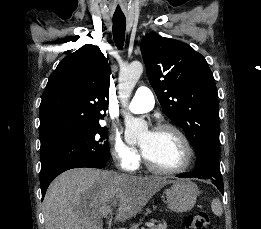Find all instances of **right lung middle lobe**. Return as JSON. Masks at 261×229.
Returning <instances> with one entry per match:
<instances>
[{"label":"right lung middle lobe","instance_id":"right-lung-middle-lobe-1","mask_svg":"<svg viewBox=\"0 0 261 229\" xmlns=\"http://www.w3.org/2000/svg\"><path fill=\"white\" fill-rule=\"evenodd\" d=\"M107 129L96 124L80 136L40 150L41 170L52 165L71 162L110 159Z\"/></svg>","mask_w":261,"mask_h":229}]
</instances>
